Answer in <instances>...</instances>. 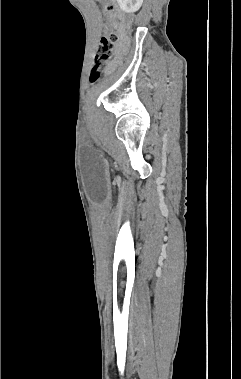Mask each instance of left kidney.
Instances as JSON below:
<instances>
[{
    "instance_id": "1",
    "label": "left kidney",
    "mask_w": 241,
    "mask_h": 379,
    "mask_svg": "<svg viewBox=\"0 0 241 379\" xmlns=\"http://www.w3.org/2000/svg\"><path fill=\"white\" fill-rule=\"evenodd\" d=\"M122 11L126 13H134L138 11L143 0H117Z\"/></svg>"
}]
</instances>
